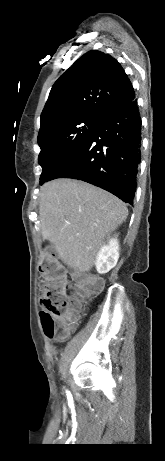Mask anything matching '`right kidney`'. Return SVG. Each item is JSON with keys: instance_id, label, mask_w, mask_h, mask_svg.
<instances>
[{"instance_id": "obj_1", "label": "right kidney", "mask_w": 165, "mask_h": 461, "mask_svg": "<svg viewBox=\"0 0 165 461\" xmlns=\"http://www.w3.org/2000/svg\"><path fill=\"white\" fill-rule=\"evenodd\" d=\"M119 258V242L111 238L107 245L101 247L96 257V269L99 274L109 272L117 264Z\"/></svg>"}]
</instances>
